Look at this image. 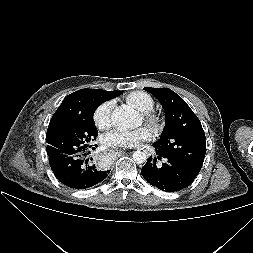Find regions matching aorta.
Listing matches in <instances>:
<instances>
[{
  "mask_svg": "<svg viewBox=\"0 0 253 253\" xmlns=\"http://www.w3.org/2000/svg\"><path fill=\"white\" fill-rule=\"evenodd\" d=\"M111 121L114 126L120 129L134 128L138 124V114L129 107H118L112 115ZM133 160L137 164H143L147 160L145 152L137 150L133 153Z\"/></svg>",
  "mask_w": 253,
  "mask_h": 253,
  "instance_id": "obj_1",
  "label": "aorta"
}]
</instances>
